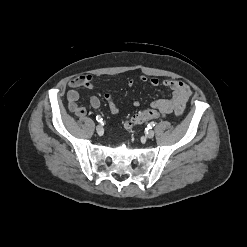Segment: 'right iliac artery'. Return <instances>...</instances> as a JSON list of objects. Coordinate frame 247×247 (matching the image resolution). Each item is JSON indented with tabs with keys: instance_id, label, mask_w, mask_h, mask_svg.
<instances>
[{
	"instance_id": "82829eb1",
	"label": "right iliac artery",
	"mask_w": 247,
	"mask_h": 247,
	"mask_svg": "<svg viewBox=\"0 0 247 247\" xmlns=\"http://www.w3.org/2000/svg\"><path fill=\"white\" fill-rule=\"evenodd\" d=\"M96 120H97V122H99V123H102V117L100 116V115H97L96 116Z\"/></svg>"
}]
</instances>
